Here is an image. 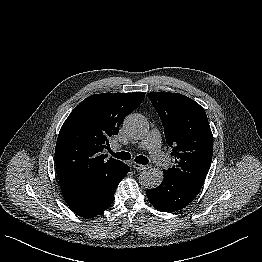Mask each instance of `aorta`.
<instances>
[{"label": "aorta", "instance_id": "obj_1", "mask_svg": "<svg viewBox=\"0 0 262 262\" xmlns=\"http://www.w3.org/2000/svg\"><path fill=\"white\" fill-rule=\"evenodd\" d=\"M123 127L127 134L133 138H142L148 131V126L145 118L140 114L128 115L124 122ZM163 181V172L157 168H148L141 172L139 175V183L148 189L158 187Z\"/></svg>", "mask_w": 262, "mask_h": 262}]
</instances>
